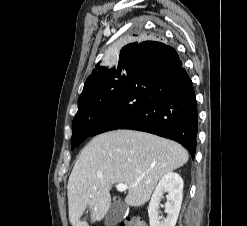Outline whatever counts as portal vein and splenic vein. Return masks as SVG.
Here are the masks:
<instances>
[{"instance_id": "portal-vein-and-splenic-vein-1", "label": "portal vein and splenic vein", "mask_w": 247, "mask_h": 226, "mask_svg": "<svg viewBox=\"0 0 247 226\" xmlns=\"http://www.w3.org/2000/svg\"><path fill=\"white\" fill-rule=\"evenodd\" d=\"M116 189H117V191H119V192H124V191H126L127 189H128V186L126 185V184H118L117 186H116ZM91 197V196H90Z\"/></svg>"}]
</instances>
